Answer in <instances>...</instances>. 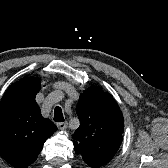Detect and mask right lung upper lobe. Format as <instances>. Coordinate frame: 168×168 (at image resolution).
I'll return each mask as SVG.
<instances>
[{"instance_id": "1", "label": "right lung upper lobe", "mask_w": 168, "mask_h": 168, "mask_svg": "<svg viewBox=\"0 0 168 168\" xmlns=\"http://www.w3.org/2000/svg\"><path fill=\"white\" fill-rule=\"evenodd\" d=\"M40 80L26 77L12 84L0 102V155L15 168H27L57 127L41 115L35 96Z\"/></svg>"}]
</instances>
